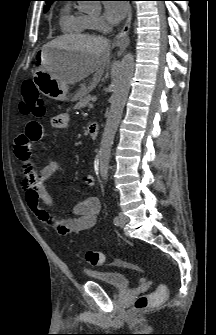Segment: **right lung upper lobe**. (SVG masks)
Segmentation results:
<instances>
[{"mask_svg": "<svg viewBox=\"0 0 216 335\" xmlns=\"http://www.w3.org/2000/svg\"><path fill=\"white\" fill-rule=\"evenodd\" d=\"M45 1H46L47 5H50L55 0H45Z\"/></svg>", "mask_w": 216, "mask_h": 335, "instance_id": "1", "label": "right lung upper lobe"}]
</instances>
